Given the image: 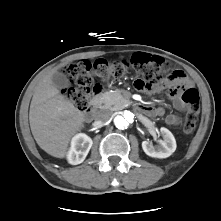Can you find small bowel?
I'll return each instance as SVG.
<instances>
[{
  "instance_id": "c3829d8e",
  "label": "small bowel",
  "mask_w": 221,
  "mask_h": 221,
  "mask_svg": "<svg viewBox=\"0 0 221 221\" xmlns=\"http://www.w3.org/2000/svg\"><path fill=\"white\" fill-rule=\"evenodd\" d=\"M190 85V81L184 74L182 70L176 69L172 71L167 79L164 81V86L168 88V97L173 102V106L176 110L180 112H185L187 110V105L182 100L180 96V91L177 90V85ZM162 86H156L152 89L153 92H158ZM145 112L150 116H161L163 114V109L154 107H145ZM181 122L177 115L170 114L166 118V123L170 126H177Z\"/></svg>"
}]
</instances>
